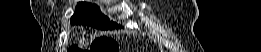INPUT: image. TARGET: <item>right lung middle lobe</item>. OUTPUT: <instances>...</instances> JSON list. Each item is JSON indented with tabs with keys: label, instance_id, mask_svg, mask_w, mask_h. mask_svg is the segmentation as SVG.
Returning <instances> with one entry per match:
<instances>
[{
	"label": "right lung middle lobe",
	"instance_id": "dd1d6c3e",
	"mask_svg": "<svg viewBox=\"0 0 261 52\" xmlns=\"http://www.w3.org/2000/svg\"><path fill=\"white\" fill-rule=\"evenodd\" d=\"M71 24L92 26L101 30L121 28L120 25L110 22L100 9L94 4L81 2L76 6L75 14L71 18Z\"/></svg>",
	"mask_w": 261,
	"mask_h": 52
}]
</instances>
